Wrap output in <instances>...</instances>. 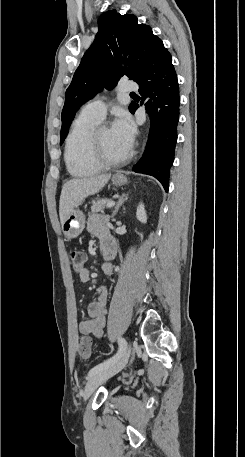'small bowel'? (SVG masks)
I'll return each instance as SVG.
<instances>
[{"label": "small bowel", "instance_id": "1", "mask_svg": "<svg viewBox=\"0 0 245 457\" xmlns=\"http://www.w3.org/2000/svg\"><path fill=\"white\" fill-rule=\"evenodd\" d=\"M87 230L96 236L100 241V249L106 252L104 259L106 262L102 265V272L106 275L113 274V266L110 260L116 254L115 242L110 234L107 219L101 214H93L87 220ZM80 280L86 283L90 279V272L87 268H83L79 272ZM107 290L105 287H98L95 298L89 303L87 311L89 319H86L79 324V332L83 335H92L100 339L103 335L106 315H107Z\"/></svg>", "mask_w": 245, "mask_h": 457}]
</instances>
